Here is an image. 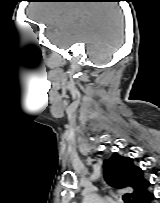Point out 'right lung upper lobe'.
<instances>
[{
  "instance_id": "1",
  "label": "right lung upper lobe",
  "mask_w": 160,
  "mask_h": 203,
  "mask_svg": "<svg viewBox=\"0 0 160 203\" xmlns=\"http://www.w3.org/2000/svg\"><path fill=\"white\" fill-rule=\"evenodd\" d=\"M104 177L108 184L117 189L130 188L131 203H140L149 194V181L144 179V171L134 164L130 157H121L114 153L104 161Z\"/></svg>"
}]
</instances>
